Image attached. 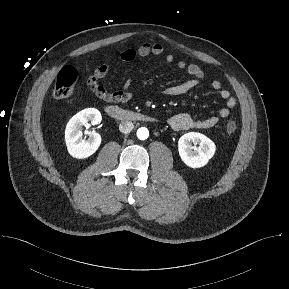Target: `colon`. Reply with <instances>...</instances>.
<instances>
[{
  "label": "colon",
  "instance_id": "obj_1",
  "mask_svg": "<svg viewBox=\"0 0 289 289\" xmlns=\"http://www.w3.org/2000/svg\"><path fill=\"white\" fill-rule=\"evenodd\" d=\"M77 80V72L73 67L66 66L59 73L53 88V95L57 99L70 97L74 91ZM237 130V124L234 120H230L226 124V131L233 134Z\"/></svg>",
  "mask_w": 289,
  "mask_h": 289
}]
</instances>
